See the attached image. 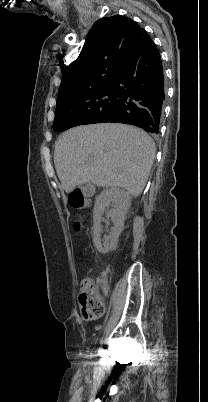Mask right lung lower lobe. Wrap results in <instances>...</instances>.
<instances>
[{"instance_id": "98d812e1", "label": "right lung lower lobe", "mask_w": 208, "mask_h": 402, "mask_svg": "<svg viewBox=\"0 0 208 402\" xmlns=\"http://www.w3.org/2000/svg\"><path fill=\"white\" fill-rule=\"evenodd\" d=\"M113 84L116 105L108 112L77 122L61 121L57 131L83 124L115 122L131 124L158 134L165 101L163 66L159 51L146 35Z\"/></svg>"}]
</instances>
